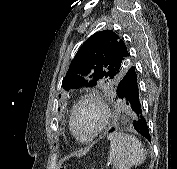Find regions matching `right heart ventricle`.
Here are the masks:
<instances>
[{
  "label": "right heart ventricle",
  "instance_id": "e07e8e85",
  "mask_svg": "<svg viewBox=\"0 0 177 169\" xmlns=\"http://www.w3.org/2000/svg\"><path fill=\"white\" fill-rule=\"evenodd\" d=\"M70 131H71V133L73 134V136H75L74 135V133L72 132V130H71V127H70ZM76 137V136H75ZM77 138V137H76ZM78 139V138H77ZM79 140V139H78ZM80 141V140H79ZM81 142H83V143H86L85 141H81Z\"/></svg>",
  "mask_w": 177,
  "mask_h": 169
}]
</instances>
